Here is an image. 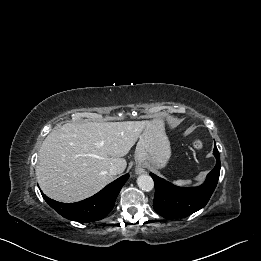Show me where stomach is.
Instances as JSON below:
<instances>
[{"label":"stomach","mask_w":261,"mask_h":261,"mask_svg":"<svg viewBox=\"0 0 261 261\" xmlns=\"http://www.w3.org/2000/svg\"><path fill=\"white\" fill-rule=\"evenodd\" d=\"M171 156V148L165 133L164 122L154 119L139 136L135 150L136 164H147L154 169L166 166Z\"/></svg>","instance_id":"stomach-1"}]
</instances>
